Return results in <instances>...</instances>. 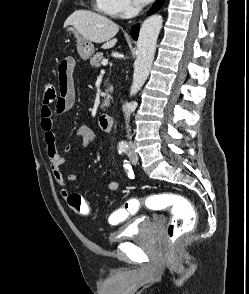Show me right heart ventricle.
<instances>
[{"instance_id":"right-heart-ventricle-1","label":"right heart ventricle","mask_w":249,"mask_h":294,"mask_svg":"<svg viewBox=\"0 0 249 294\" xmlns=\"http://www.w3.org/2000/svg\"><path fill=\"white\" fill-rule=\"evenodd\" d=\"M96 8L109 16H114L110 0H94Z\"/></svg>"}]
</instances>
